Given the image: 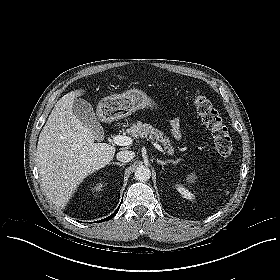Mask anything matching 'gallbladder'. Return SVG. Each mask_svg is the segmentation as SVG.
I'll return each mask as SVG.
<instances>
[{
    "label": "gallbladder",
    "mask_w": 280,
    "mask_h": 280,
    "mask_svg": "<svg viewBox=\"0 0 280 280\" xmlns=\"http://www.w3.org/2000/svg\"><path fill=\"white\" fill-rule=\"evenodd\" d=\"M73 114L86 126H88L95 138L100 141L104 137V130L97 116L94 112L92 105L85 99H75L72 106Z\"/></svg>",
    "instance_id": "gallbladder-1"
}]
</instances>
